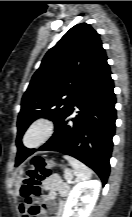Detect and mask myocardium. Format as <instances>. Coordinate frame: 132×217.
I'll use <instances>...</instances> for the list:
<instances>
[{
    "label": "myocardium",
    "instance_id": "obj_1",
    "mask_svg": "<svg viewBox=\"0 0 132 217\" xmlns=\"http://www.w3.org/2000/svg\"><path fill=\"white\" fill-rule=\"evenodd\" d=\"M53 132V121L47 117H39L26 128L22 137V143L26 148H37L48 141L53 135ZM35 133L38 135L37 139L34 142H29V137Z\"/></svg>",
    "mask_w": 132,
    "mask_h": 217
}]
</instances>
